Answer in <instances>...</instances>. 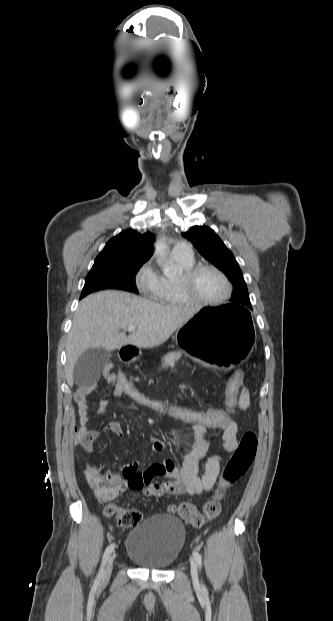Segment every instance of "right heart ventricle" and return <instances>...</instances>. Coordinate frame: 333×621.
Wrapping results in <instances>:
<instances>
[{"label": "right heart ventricle", "mask_w": 333, "mask_h": 621, "mask_svg": "<svg viewBox=\"0 0 333 621\" xmlns=\"http://www.w3.org/2000/svg\"><path fill=\"white\" fill-rule=\"evenodd\" d=\"M173 262L179 269V275L176 277L161 276L159 287L153 296L157 302L169 305V306H182L189 304V301L183 296L180 285L179 277L182 272L190 269L194 266L193 258H183L176 255H172Z\"/></svg>", "instance_id": "1"}]
</instances>
